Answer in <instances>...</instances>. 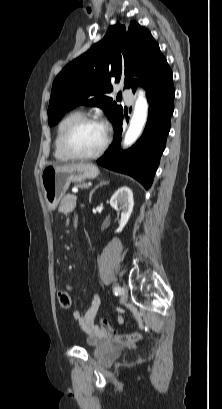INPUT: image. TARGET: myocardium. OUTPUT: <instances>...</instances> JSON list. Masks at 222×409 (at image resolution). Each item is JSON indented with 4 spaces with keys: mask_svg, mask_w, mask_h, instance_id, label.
Returning <instances> with one entry per match:
<instances>
[{
    "mask_svg": "<svg viewBox=\"0 0 222 409\" xmlns=\"http://www.w3.org/2000/svg\"><path fill=\"white\" fill-rule=\"evenodd\" d=\"M88 123H97L104 127L105 129V139L102 146L92 154H79L75 152L70 145V140L74 132L83 126L84 124ZM111 142V131L106 122L97 116H83L80 119L76 120L72 123L67 130L65 131L62 139V147L64 152L71 158L76 160H91L96 159L103 154V152L107 149Z\"/></svg>",
    "mask_w": 222,
    "mask_h": 409,
    "instance_id": "myocardium-1",
    "label": "myocardium"
}]
</instances>
